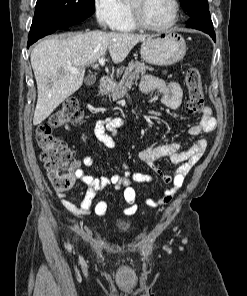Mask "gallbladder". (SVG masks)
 Segmentation results:
<instances>
[{"instance_id":"1","label":"gallbladder","mask_w":247,"mask_h":296,"mask_svg":"<svg viewBox=\"0 0 247 296\" xmlns=\"http://www.w3.org/2000/svg\"><path fill=\"white\" fill-rule=\"evenodd\" d=\"M94 81H95V77H94V76H89V77H87V78L85 79V83H86V85H88V86L92 85V84L94 83Z\"/></svg>"}]
</instances>
